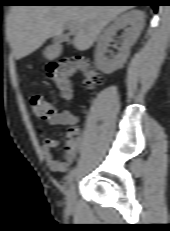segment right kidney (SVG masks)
I'll return each mask as SVG.
<instances>
[{"mask_svg": "<svg viewBox=\"0 0 170 231\" xmlns=\"http://www.w3.org/2000/svg\"><path fill=\"white\" fill-rule=\"evenodd\" d=\"M143 26L144 13L140 10H131L117 17L98 39L95 51V63L98 69L105 74H111L122 68L129 56L130 48L140 36ZM121 28H126L121 47L116 55L108 57L106 54L112 37Z\"/></svg>", "mask_w": 170, "mask_h": 231, "instance_id": "1", "label": "right kidney"}]
</instances>
